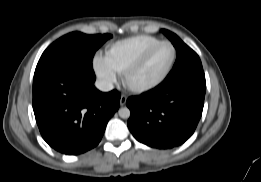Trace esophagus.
Listing matches in <instances>:
<instances>
[{
    "instance_id": "obj_1",
    "label": "esophagus",
    "mask_w": 261,
    "mask_h": 182,
    "mask_svg": "<svg viewBox=\"0 0 261 182\" xmlns=\"http://www.w3.org/2000/svg\"><path fill=\"white\" fill-rule=\"evenodd\" d=\"M126 101H127V96L122 94L120 98V105L124 106L126 104Z\"/></svg>"
}]
</instances>
